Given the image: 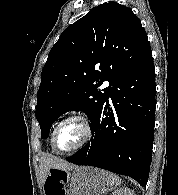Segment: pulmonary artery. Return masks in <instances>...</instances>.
I'll return each mask as SVG.
<instances>
[{
    "mask_svg": "<svg viewBox=\"0 0 178 195\" xmlns=\"http://www.w3.org/2000/svg\"><path fill=\"white\" fill-rule=\"evenodd\" d=\"M108 85H109V82L106 81V82L104 83V86L107 87Z\"/></svg>",
    "mask_w": 178,
    "mask_h": 195,
    "instance_id": "obj_1",
    "label": "pulmonary artery"
}]
</instances>
